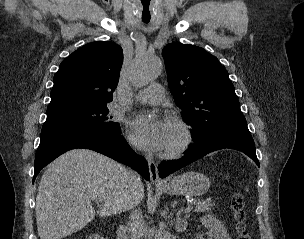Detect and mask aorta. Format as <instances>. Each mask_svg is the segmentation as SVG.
<instances>
[{
    "label": "aorta",
    "instance_id": "aorta-1",
    "mask_svg": "<svg viewBox=\"0 0 304 239\" xmlns=\"http://www.w3.org/2000/svg\"><path fill=\"white\" fill-rule=\"evenodd\" d=\"M161 68V60L157 57H138L133 63L131 81L136 86L146 85L159 76Z\"/></svg>",
    "mask_w": 304,
    "mask_h": 239
}]
</instances>
